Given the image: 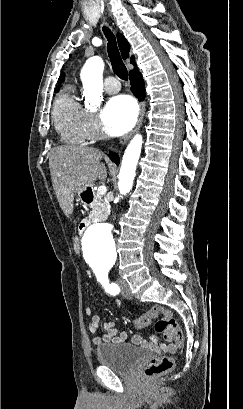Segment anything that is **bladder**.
Returning <instances> with one entry per match:
<instances>
[{
	"mask_svg": "<svg viewBox=\"0 0 243 409\" xmlns=\"http://www.w3.org/2000/svg\"><path fill=\"white\" fill-rule=\"evenodd\" d=\"M98 362L111 370L126 374L129 373L141 360L149 356L146 349L126 344H103L96 349Z\"/></svg>",
	"mask_w": 243,
	"mask_h": 409,
	"instance_id": "obj_1",
	"label": "bladder"
}]
</instances>
